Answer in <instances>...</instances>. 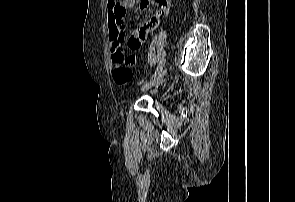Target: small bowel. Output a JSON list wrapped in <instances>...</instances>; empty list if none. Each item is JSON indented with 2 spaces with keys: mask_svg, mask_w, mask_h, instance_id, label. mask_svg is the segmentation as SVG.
Masks as SVG:
<instances>
[{
  "mask_svg": "<svg viewBox=\"0 0 295 202\" xmlns=\"http://www.w3.org/2000/svg\"><path fill=\"white\" fill-rule=\"evenodd\" d=\"M135 0H107V20L109 27V41L112 61L116 52L128 55L124 46V18L126 10L134 5ZM159 6V13L149 21L138 26L131 34L127 50L134 51L139 49L147 40V36L153 30L160 17L166 15L170 9V0H156ZM150 6V0H140L139 9L145 11Z\"/></svg>",
  "mask_w": 295,
  "mask_h": 202,
  "instance_id": "1",
  "label": "small bowel"
}]
</instances>
